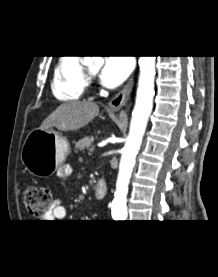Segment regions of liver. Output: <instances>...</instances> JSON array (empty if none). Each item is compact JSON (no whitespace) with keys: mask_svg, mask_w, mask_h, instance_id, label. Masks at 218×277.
<instances>
[{"mask_svg":"<svg viewBox=\"0 0 218 277\" xmlns=\"http://www.w3.org/2000/svg\"><path fill=\"white\" fill-rule=\"evenodd\" d=\"M99 114L94 102L71 101L61 104L40 125V130L56 127L61 131H76L86 126Z\"/></svg>","mask_w":218,"mask_h":277,"instance_id":"liver-1","label":"liver"}]
</instances>
